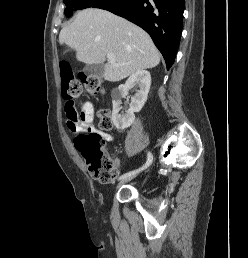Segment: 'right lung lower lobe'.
I'll list each match as a JSON object with an SVG mask.
<instances>
[{
	"label": "right lung lower lobe",
	"instance_id": "1",
	"mask_svg": "<svg viewBox=\"0 0 248 258\" xmlns=\"http://www.w3.org/2000/svg\"><path fill=\"white\" fill-rule=\"evenodd\" d=\"M143 28L162 53L169 69L180 42L184 0H108L95 6Z\"/></svg>",
	"mask_w": 248,
	"mask_h": 258
}]
</instances>
